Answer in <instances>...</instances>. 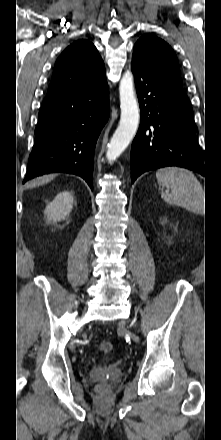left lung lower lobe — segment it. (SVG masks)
<instances>
[{"mask_svg": "<svg viewBox=\"0 0 221 440\" xmlns=\"http://www.w3.org/2000/svg\"><path fill=\"white\" fill-rule=\"evenodd\" d=\"M131 69L141 116L131 148V182L165 166L184 167L206 177V161L195 138L198 128L183 86L156 75L137 56L132 57Z\"/></svg>", "mask_w": 221, "mask_h": 440, "instance_id": "1", "label": "left lung lower lobe"}]
</instances>
